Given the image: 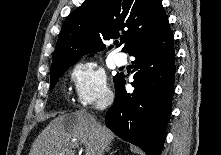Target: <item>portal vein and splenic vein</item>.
Wrapping results in <instances>:
<instances>
[{
	"label": "portal vein and splenic vein",
	"instance_id": "1",
	"mask_svg": "<svg viewBox=\"0 0 221 155\" xmlns=\"http://www.w3.org/2000/svg\"><path fill=\"white\" fill-rule=\"evenodd\" d=\"M78 146H76V145H73V148H77Z\"/></svg>",
	"mask_w": 221,
	"mask_h": 155
}]
</instances>
